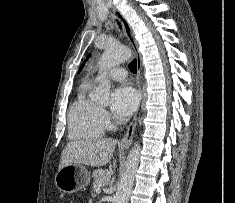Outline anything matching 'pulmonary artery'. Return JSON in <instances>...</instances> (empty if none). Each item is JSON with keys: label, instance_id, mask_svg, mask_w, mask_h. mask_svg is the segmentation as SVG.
I'll use <instances>...</instances> for the list:
<instances>
[{"label": "pulmonary artery", "instance_id": "obj_1", "mask_svg": "<svg viewBox=\"0 0 235 203\" xmlns=\"http://www.w3.org/2000/svg\"><path fill=\"white\" fill-rule=\"evenodd\" d=\"M109 78L116 80V81H121L124 80L127 77V71L124 68H114L111 69L108 72Z\"/></svg>", "mask_w": 235, "mask_h": 203}]
</instances>
